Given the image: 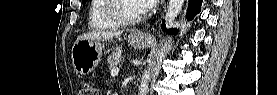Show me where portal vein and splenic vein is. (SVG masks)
I'll return each mask as SVG.
<instances>
[{
	"label": "portal vein and splenic vein",
	"mask_w": 277,
	"mask_h": 95,
	"mask_svg": "<svg viewBox=\"0 0 277 95\" xmlns=\"http://www.w3.org/2000/svg\"><path fill=\"white\" fill-rule=\"evenodd\" d=\"M118 72H119V68L116 67V68H114V69L111 70V75H112V76H116V75L118 74Z\"/></svg>",
	"instance_id": "18ae733b"
}]
</instances>
